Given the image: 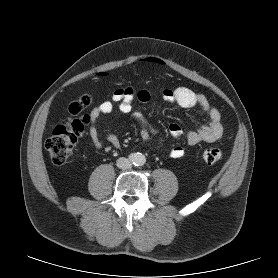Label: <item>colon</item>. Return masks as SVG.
I'll list each match as a JSON object with an SVG mask.
<instances>
[{
	"label": "colon",
	"instance_id": "5ec220e1",
	"mask_svg": "<svg viewBox=\"0 0 278 278\" xmlns=\"http://www.w3.org/2000/svg\"><path fill=\"white\" fill-rule=\"evenodd\" d=\"M91 98L83 95L73 101L68 107V117L57 125L51 136L45 142V148L56 165H63L71 156L78 139L81 137L89 116L84 111L90 106ZM223 158L221 149L206 148L201 153V159L206 164H214Z\"/></svg>",
	"mask_w": 278,
	"mask_h": 278
}]
</instances>
